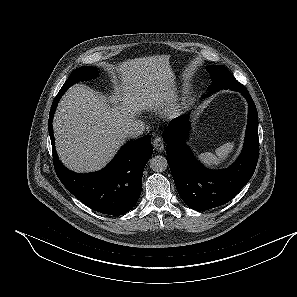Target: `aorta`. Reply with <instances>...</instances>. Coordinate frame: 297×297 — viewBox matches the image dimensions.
Masks as SVG:
<instances>
[{"label":"aorta","mask_w":297,"mask_h":297,"mask_svg":"<svg viewBox=\"0 0 297 297\" xmlns=\"http://www.w3.org/2000/svg\"><path fill=\"white\" fill-rule=\"evenodd\" d=\"M168 163L165 157L157 155L150 159V168L154 172H163L167 169Z\"/></svg>","instance_id":"1"}]
</instances>
